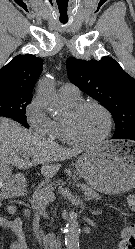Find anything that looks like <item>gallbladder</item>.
Returning <instances> with one entry per match:
<instances>
[{"instance_id":"bac80fb5","label":"gallbladder","mask_w":135,"mask_h":249,"mask_svg":"<svg viewBox=\"0 0 135 249\" xmlns=\"http://www.w3.org/2000/svg\"><path fill=\"white\" fill-rule=\"evenodd\" d=\"M9 167L5 164H2V162H0V178L3 177L5 179V174L8 171ZM4 171V172H3Z\"/></svg>"}]
</instances>
